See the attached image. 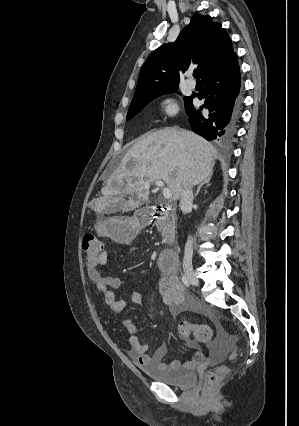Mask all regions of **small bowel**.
I'll return each mask as SVG.
<instances>
[{
    "instance_id": "obj_1",
    "label": "small bowel",
    "mask_w": 299,
    "mask_h": 426,
    "mask_svg": "<svg viewBox=\"0 0 299 426\" xmlns=\"http://www.w3.org/2000/svg\"><path fill=\"white\" fill-rule=\"evenodd\" d=\"M108 254V248L102 249L97 265L94 267H87V273L95 288L102 294L104 303L111 311L121 314L126 309L128 301L125 298H116L113 290L118 289L121 286V280L116 276L106 273L103 269L106 264ZM158 291L162 301L164 304L169 306L172 314L194 311L207 316L217 323L214 315L208 309L196 303L186 294L183 285L179 281L175 272L162 273L158 280ZM128 299L135 305H142L143 303L142 296L136 290L130 291ZM122 324L129 333V355L133 360L140 364H153L158 368L181 367L185 369H192L205 364L208 360V357L203 349L200 348L198 343L194 341H187L186 345L189 348L195 349L191 359L183 362L171 359L165 362L164 358L168 354V348L166 346H162L153 354H150L149 346L142 343L139 339V329L135 321L131 318H125L122 320ZM208 347L211 349L212 345H209Z\"/></svg>"
}]
</instances>
